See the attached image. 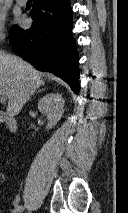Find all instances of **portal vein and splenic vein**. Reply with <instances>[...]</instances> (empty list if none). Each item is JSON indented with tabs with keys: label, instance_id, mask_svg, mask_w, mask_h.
<instances>
[{
	"label": "portal vein and splenic vein",
	"instance_id": "18ae733b",
	"mask_svg": "<svg viewBox=\"0 0 128 213\" xmlns=\"http://www.w3.org/2000/svg\"><path fill=\"white\" fill-rule=\"evenodd\" d=\"M5 101H6V98L3 97L2 95H0V102H1V103H4Z\"/></svg>",
	"mask_w": 128,
	"mask_h": 213
}]
</instances>
